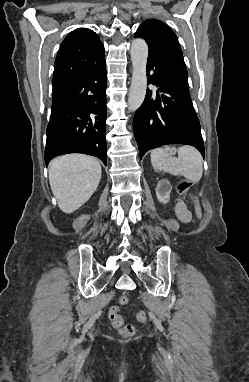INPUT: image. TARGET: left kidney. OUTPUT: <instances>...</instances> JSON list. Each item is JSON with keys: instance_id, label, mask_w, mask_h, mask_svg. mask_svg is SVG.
Wrapping results in <instances>:
<instances>
[{"instance_id": "1", "label": "left kidney", "mask_w": 249, "mask_h": 382, "mask_svg": "<svg viewBox=\"0 0 249 382\" xmlns=\"http://www.w3.org/2000/svg\"><path fill=\"white\" fill-rule=\"evenodd\" d=\"M171 189L172 186L168 180L163 179L159 181L156 187V196L158 201L164 204L168 203L170 200Z\"/></svg>"}]
</instances>
